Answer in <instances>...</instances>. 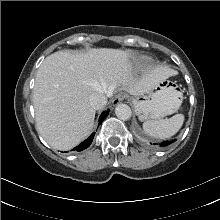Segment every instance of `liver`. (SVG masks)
Segmentation results:
<instances>
[{
    "instance_id": "liver-1",
    "label": "liver",
    "mask_w": 220,
    "mask_h": 220,
    "mask_svg": "<svg viewBox=\"0 0 220 220\" xmlns=\"http://www.w3.org/2000/svg\"><path fill=\"white\" fill-rule=\"evenodd\" d=\"M130 59L128 51L108 48L58 51L46 57L37 71L33 104L37 130L50 146L69 150L90 134L96 113L91 95H111L120 85L142 95L174 75L166 67H155L136 79Z\"/></svg>"
}]
</instances>
